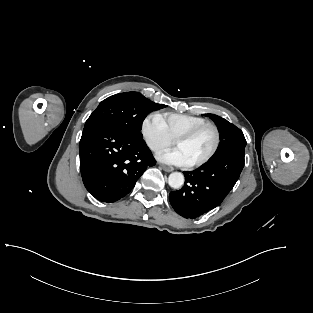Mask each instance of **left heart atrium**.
<instances>
[{"instance_id": "obj_1", "label": "left heart atrium", "mask_w": 313, "mask_h": 313, "mask_svg": "<svg viewBox=\"0 0 313 313\" xmlns=\"http://www.w3.org/2000/svg\"><path fill=\"white\" fill-rule=\"evenodd\" d=\"M158 159L166 164L175 166H188L190 161L180 148L166 150L158 154Z\"/></svg>"}]
</instances>
